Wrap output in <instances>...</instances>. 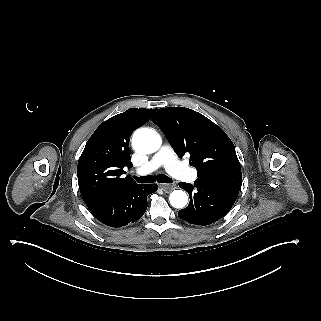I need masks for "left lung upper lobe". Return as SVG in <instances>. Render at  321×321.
<instances>
[{"mask_svg":"<svg viewBox=\"0 0 321 321\" xmlns=\"http://www.w3.org/2000/svg\"><path fill=\"white\" fill-rule=\"evenodd\" d=\"M180 156L190 154L197 175L241 171L234 144L226 133L202 114L184 107L159 109L152 118Z\"/></svg>","mask_w":321,"mask_h":321,"instance_id":"obj_1","label":"left lung upper lobe"}]
</instances>
